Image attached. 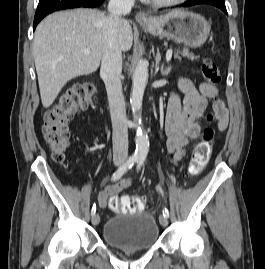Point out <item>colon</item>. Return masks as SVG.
<instances>
[{
	"label": "colon",
	"instance_id": "5ec220e1",
	"mask_svg": "<svg viewBox=\"0 0 265 269\" xmlns=\"http://www.w3.org/2000/svg\"><path fill=\"white\" fill-rule=\"evenodd\" d=\"M204 79L212 87L219 85L221 81L220 71L211 58H206L202 63ZM95 92L93 85H78L61 95L53 107L46 112L42 126L44 140L51 150L52 159L62 163L66 159L69 145V122L73 115L81 110H86L91 104ZM207 120H214L213 114L207 115ZM214 139V130L206 126L202 132L200 141L196 144L192 153L188 173L191 177L198 176L209 161ZM145 199L139 196L112 197L110 208L120 213H134L143 209Z\"/></svg>",
	"mask_w": 265,
	"mask_h": 269
}]
</instances>
